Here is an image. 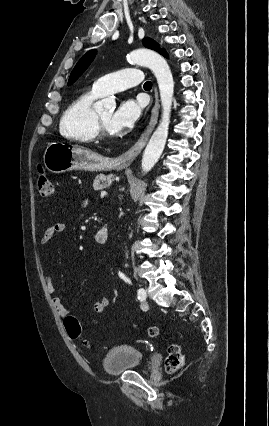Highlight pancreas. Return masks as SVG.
Wrapping results in <instances>:
<instances>
[{
    "label": "pancreas",
    "instance_id": "obj_1",
    "mask_svg": "<svg viewBox=\"0 0 269 426\" xmlns=\"http://www.w3.org/2000/svg\"><path fill=\"white\" fill-rule=\"evenodd\" d=\"M113 180L114 177L112 175L99 174L95 177L93 181V188L96 191L105 189L111 185Z\"/></svg>",
    "mask_w": 269,
    "mask_h": 426
}]
</instances>
